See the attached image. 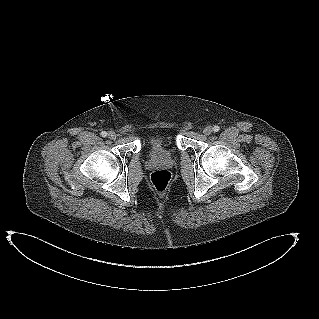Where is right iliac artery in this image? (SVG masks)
Instances as JSON below:
<instances>
[{"label":"right iliac artery","mask_w":319,"mask_h":319,"mask_svg":"<svg viewBox=\"0 0 319 319\" xmlns=\"http://www.w3.org/2000/svg\"><path fill=\"white\" fill-rule=\"evenodd\" d=\"M101 136L102 137H106L107 136V132L106 131L101 132Z\"/></svg>","instance_id":"82829eb1"}]
</instances>
